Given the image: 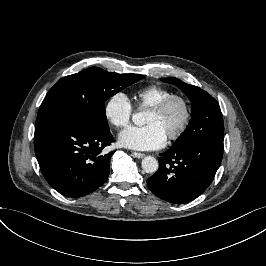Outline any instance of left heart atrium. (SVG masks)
<instances>
[{
    "mask_svg": "<svg viewBox=\"0 0 266 266\" xmlns=\"http://www.w3.org/2000/svg\"><path fill=\"white\" fill-rule=\"evenodd\" d=\"M166 140L167 135L155 123L130 126L119 135V141L123 146L137 150L158 149L165 144Z\"/></svg>",
    "mask_w": 266,
    "mask_h": 266,
    "instance_id": "1",
    "label": "left heart atrium"
}]
</instances>
